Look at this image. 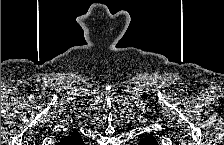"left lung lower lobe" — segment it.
<instances>
[{"mask_svg": "<svg viewBox=\"0 0 224 145\" xmlns=\"http://www.w3.org/2000/svg\"><path fill=\"white\" fill-rule=\"evenodd\" d=\"M140 145H157V141L155 138L151 136H144L142 137L141 141L139 142Z\"/></svg>", "mask_w": 224, "mask_h": 145, "instance_id": "1", "label": "left lung lower lobe"}]
</instances>
